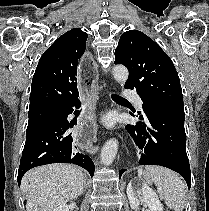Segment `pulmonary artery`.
<instances>
[{
    "label": "pulmonary artery",
    "instance_id": "e3ab8cb5",
    "mask_svg": "<svg viewBox=\"0 0 209 211\" xmlns=\"http://www.w3.org/2000/svg\"><path fill=\"white\" fill-rule=\"evenodd\" d=\"M123 95H124V97L133 100L137 104L138 107H140V108L142 107V104H143L142 99L137 94L136 91L131 90V89H126V90H124Z\"/></svg>",
    "mask_w": 209,
    "mask_h": 211
}]
</instances>
